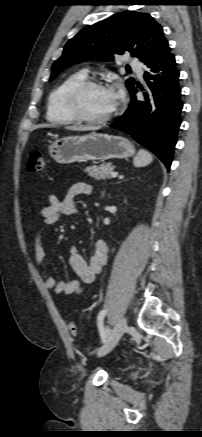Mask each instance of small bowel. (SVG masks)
<instances>
[{
  "mask_svg": "<svg viewBox=\"0 0 202 437\" xmlns=\"http://www.w3.org/2000/svg\"><path fill=\"white\" fill-rule=\"evenodd\" d=\"M92 186L85 182L73 184L65 197L59 199L55 194L48 197V205L40 210L42 226L37 230L34 238L35 262L37 266H43L46 260L45 250L42 245V236L45 229L55 224L63 215H76L78 208L76 198L80 195H90ZM108 256L107 244L102 240L93 243L92 253L86 260L76 247H71L69 264L77 275V279L70 281H57L51 274L45 275L44 286L46 289H54L58 294H79L84 285L94 282L96 276L102 271Z\"/></svg>",
  "mask_w": 202,
  "mask_h": 437,
  "instance_id": "obj_1",
  "label": "small bowel"
}]
</instances>
